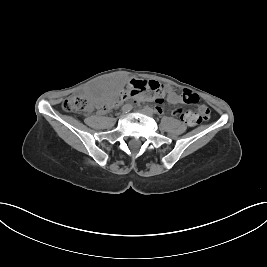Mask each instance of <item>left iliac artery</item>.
Wrapping results in <instances>:
<instances>
[{"instance_id": "left-iliac-artery-1", "label": "left iliac artery", "mask_w": 267, "mask_h": 267, "mask_svg": "<svg viewBox=\"0 0 267 267\" xmlns=\"http://www.w3.org/2000/svg\"><path fill=\"white\" fill-rule=\"evenodd\" d=\"M145 109H146L147 111H149L151 114H155V111H154L151 107L146 106Z\"/></svg>"}]
</instances>
